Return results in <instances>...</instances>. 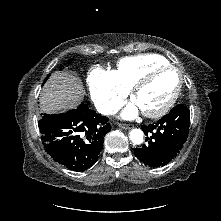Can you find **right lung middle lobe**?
Segmentation results:
<instances>
[{
  "label": "right lung middle lobe",
  "instance_id": "right-lung-middle-lobe-1",
  "mask_svg": "<svg viewBox=\"0 0 221 221\" xmlns=\"http://www.w3.org/2000/svg\"><path fill=\"white\" fill-rule=\"evenodd\" d=\"M68 63H71V61H69ZM60 70H61V69H60ZM47 78H48V77H47ZM47 78H46V79H47ZM44 82H45V81H44Z\"/></svg>",
  "mask_w": 221,
  "mask_h": 221
}]
</instances>
